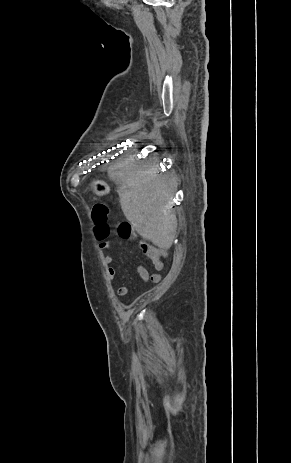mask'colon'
Wrapping results in <instances>:
<instances>
[{"label": "colon", "mask_w": 291, "mask_h": 463, "mask_svg": "<svg viewBox=\"0 0 291 463\" xmlns=\"http://www.w3.org/2000/svg\"><path fill=\"white\" fill-rule=\"evenodd\" d=\"M110 209L105 203H97L92 207L91 217L94 223L93 233L101 246L105 245L113 230L123 239H131L135 235L127 221H120L114 226L109 222Z\"/></svg>", "instance_id": "obj_1"}]
</instances>
